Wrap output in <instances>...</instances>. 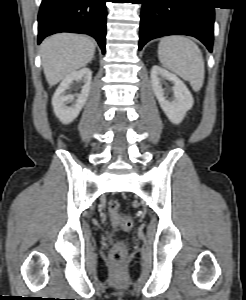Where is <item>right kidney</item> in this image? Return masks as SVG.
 Instances as JSON below:
<instances>
[{"instance_id": "ca27d5eb", "label": "right kidney", "mask_w": 246, "mask_h": 300, "mask_svg": "<svg viewBox=\"0 0 246 300\" xmlns=\"http://www.w3.org/2000/svg\"><path fill=\"white\" fill-rule=\"evenodd\" d=\"M92 71L88 68H82L74 71L66 76L56 89L53 98L52 106L56 117L64 124L71 123L84 107L91 88ZM83 82L80 94L66 95L65 91L74 83ZM77 97L75 103L67 106L68 103Z\"/></svg>"}]
</instances>
